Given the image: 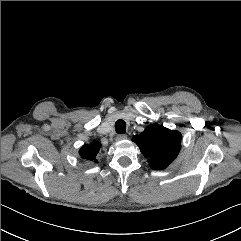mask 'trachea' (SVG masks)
<instances>
[{"mask_svg": "<svg viewBox=\"0 0 241 241\" xmlns=\"http://www.w3.org/2000/svg\"><path fill=\"white\" fill-rule=\"evenodd\" d=\"M115 131L118 134H124L126 132V122L124 120H118L115 123Z\"/></svg>", "mask_w": 241, "mask_h": 241, "instance_id": "obj_1", "label": "trachea"}]
</instances>
